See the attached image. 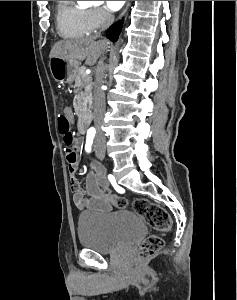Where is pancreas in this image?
<instances>
[{"label": "pancreas", "instance_id": "obj_1", "mask_svg": "<svg viewBox=\"0 0 237 300\" xmlns=\"http://www.w3.org/2000/svg\"><path fill=\"white\" fill-rule=\"evenodd\" d=\"M85 71V67H79L74 79L75 87H84V89H86V87H92V85H94L91 75H86ZM91 93L92 89H90V91H84V93L76 95L73 101L75 113L80 119H88L90 115L89 101H91Z\"/></svg>", "mask_w": 237, "mask_h": 300}]
</instances>
